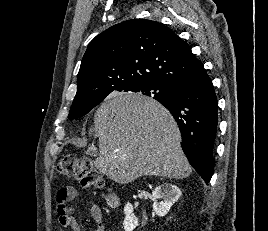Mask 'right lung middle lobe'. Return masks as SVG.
Masks as SVG:
<instances>
[{"mask_svg": "<svg viewBox=\"0 0 268 231\" xmlns=\"http://www.w3.org/2000/svg\"><path fill=\"white\" fill-rule=\"evenodd\" d=\"M169 90L170 89L168 87L162 84L147 83V84L127 88L124 91L140 92L143 95L151 96L154 99H159V98L167 97L170 94ZM102 101L103 100H100L98 102H95L89 105L72 104L68 118L72 120V119L84 116Z\"/></svg>", "mask_w": 268, "mask_h": 231, "instance_id": "1", "label": "right lung middle lobe"}]
</instances>
